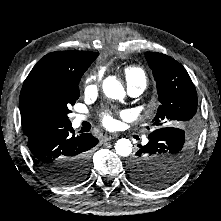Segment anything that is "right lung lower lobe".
<instances>
[{
  "label": "right lung lower lobe",
  "mask_w": 221,
  "mask_h": 221,
  "mask_svg": "<svg viewBox=\"0 0 221 221\" xmlns=\"http://www.w3.org/2000/svg\"><path fill=\"white\" fill-rule=\"evenodd\" d=\"M73 132L70 123L45 126L27 136L34 163L50 180L61 185L80 182L74 173L67 172L66 164L72 159L83 157L88 166L90 149L98 143V139L90 133L76 137Z\"/></svg>",
  "instance_id": "obj_1"
}]
</instances>
